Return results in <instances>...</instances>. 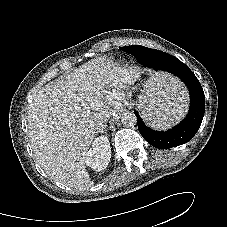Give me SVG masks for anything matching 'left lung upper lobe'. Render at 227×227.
<instances>
[{
    "label": "left lung upper lobe",
    "mask_w": 227,
    "mask_h": 227,
    "mask_svg": "<svg viewBox=\"0 0 227 227\" xmlns=\"http://www.w3.org/2000/svg\"><path fill=\"white\" fill-rule=\"evenodd\" d=\"M130 47H131V46L122 47L121 50H123V51L129 53V52H128V49H130ZM165 54H167V53H165ZM167 55H169V54H167ZM169 56H171V55H169ZM172 57H173V56H172Z\"/></svg>",
    "instance_id": "left-lung-upper-lobe-1"
}]
</instances>
